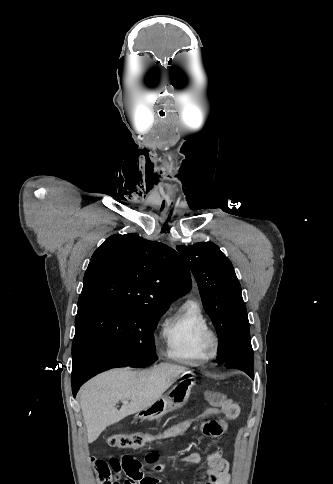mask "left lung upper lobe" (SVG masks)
Returning a JSON list of instances; mask_svg holds the SVG:
<instances>
[{
    "label": "left lung upper lobe",
    "instance_id": "5c2ea615",
    "mask_svg": "<svg viewBox=\"0 0 333 484\" xmlns=\"http://www.w3.org/2000/svg\"><path fill=\"white\" fill-rule=\"evenodd\" d=\"M192 271L203 306L219 337L218 363L226 364L233 341L249 327L241 286L230 260L212 242L177 246ZM245 370L242 365H229ZM247 373V372H246Z\"/></svg>",
    "mask_w": 333,
    "mask_h": 484
}]
</instances>
